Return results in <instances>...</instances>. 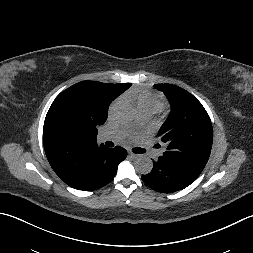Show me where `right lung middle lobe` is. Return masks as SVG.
Segmentation results:
<instances>
[{
    "instance_id": "right-lung-middle-lobe-1",
    "label": "right lung middle lobe",
    "mask_w": 253,
    "mask_h": 253,
    "mask_svg": "<svg viewBox=\"0 0 253 253\" xmlns=\"http://www.w3.org/2000/svg\"><path fill=\"white\" fill-rule=\"evenodd\" d=\"M115 98L102 91L93 95L62 92L52 103L43 130L63 143L96 138L97 127L105 123L108 107Z\"/></svg>"
}]
</instances>
